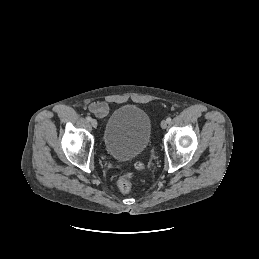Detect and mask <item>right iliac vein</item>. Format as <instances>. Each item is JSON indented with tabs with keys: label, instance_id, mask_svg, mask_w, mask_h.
<instances>
[{
	"label": "right iliac vein",
	"instance_id": "1",
	"mask_svg": "<svg viewBox=\"0 0 259 259\" xmlns=\"http://www.w3.org/2000/svg\"><path fill=\"white\" fill-rule=\"evenodd\" d=\"M91 125H92L94 128H96L97 125H98V123H97V121H96L95 119H92V120H91Z\"/></svg>",
	"mask_w": 259,
	"mask_h": 259
}]
</instances>
